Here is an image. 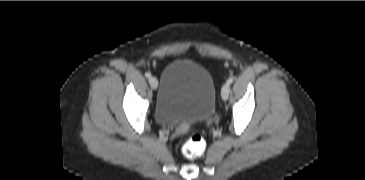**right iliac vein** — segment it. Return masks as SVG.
<instances>
[{"mask_svg": "<svg viewBox=\"0 0 365 180\" xmlns=\"http://www.w3.org/2000/svg\"><path fill=\"white\" fill-rule=\"evenodd\" d=\"M149 83H150V86H151L153 89H157V87H158V80H157L155 77L151 76V77L149 78Z\"/></svg>", "mask_w": 365, "mask_h": 180, "instance_id": "obj_1", "label": "right iliac vein"}]
</instances>
